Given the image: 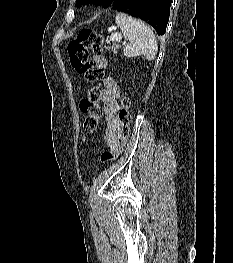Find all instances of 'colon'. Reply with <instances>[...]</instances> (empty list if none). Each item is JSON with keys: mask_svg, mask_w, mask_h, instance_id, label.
I'll return each instance as SVG.
<instances>
[{"mask_svg": "<svg viewBox=\"0 0 233 263\" xmlns=\"http://www.w3.org/2000/svg\"><path fill=\"white\" fill-rule=\"evenodd\" d=\"M67 51L70 64L75 71L84 75L90 82L99 80L101 70L91 62L90 53L100 54L103 52V38L100 34L91 29L80 30L77 36L68 43ZM99 91L98 86L93 87L79 105L83 115V128L87 133H91L97 128L102 116L99 104ZM130 106V98L124 96L121 100V109L118 114L121 123L122 142L116 151L102 154L101 161L104 163L114 160L123 150L130 133Z\"/></svg>", "mask_w": 233, "mask_h": 263, "instance_id": "5ec220e1", "label": "colon"}]
</instances>
